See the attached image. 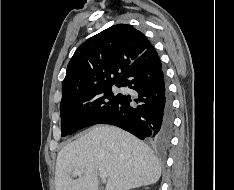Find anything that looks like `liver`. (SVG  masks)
Masks as SVG:
<instances>
[{
  "label": "liver",
  "instance_id": "obj_1",
  "mask_svg": "<svg viewBox=\"0 0 234 190\" xmlns=\"http://www.w3.org/2000/svg\"><path fill=\"white\" fill-rule=\"evenodd\" d=\"M76 170L83 174L73 179ZM100 171L108 175L105 190L151 185L161 176L159 160L145 143L118 127L99 125L59 151L55 190H98Z\"/></svg>",
  "mask_w": 234,
  "mask_h": 190
}]
</instances>
